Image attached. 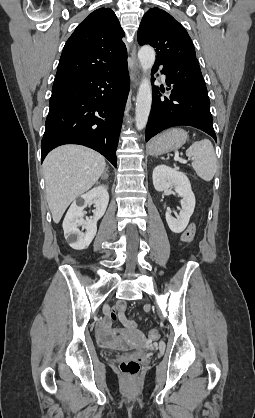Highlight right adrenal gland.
Here are the masks:
<instances>
[{
    "label": "right adrenal gland",
    "mask_w": 255,
    "mask_h": 418,
    "mask_svg": "<svg viewBox=\"0 0 255 418\" xmlns=\"http://www.w3.org/2000/svg\"><path fill=\"white\" fill-rule=\"evenodd\" d=\"M108 173H109V170H108V167L105 169V171H104V173H103V175H102V177H101V179H107L108 178Z\"/></svg>",
    "instance_id": "right-adrenal-gland-1"
}]
</instances>
